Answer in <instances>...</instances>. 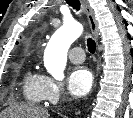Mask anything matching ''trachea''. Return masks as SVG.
Wrapping results in <instances>:
<instances>
[{"label":"trachea","mask_w":133,"mask_h":118,"mask_svg":"<svg viewBox=\"0 0 133 118\" xmlns=\"http://www.w3.org/2000/svg\"><path fill=\"white\" fill-rule=\"evenodd\" d=\"M66 2L77 11L80 9L79 0H66ZM87 46H88L89 52L93 54L95 52V50H96L95 41L93 39H91V38H88L87 39Z\"/></svg>","instance_id":"3493384b"}]
</instances>
